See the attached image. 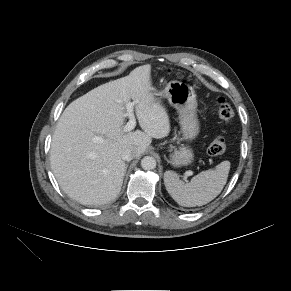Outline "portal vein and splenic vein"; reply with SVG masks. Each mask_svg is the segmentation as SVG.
Wrapping results in <instances>:
<instances>
[{
  "instance_id": "1",
  "label": "portal vein and splenic vein",
  "mask_w": 291,
  "mask_h": 291,
  "mask_svg": "<svg viewBox=\"0 0 291 291\" xmlns=\"http://www.w3.org/2000/svg\"><path fill=\"white\" fill-rule=\"evenodd\" d=\"M133 108H134L133 102L132 103L129 102L126 104V109H127L126 116L129 117V121L127 122V124L123 128L124 132H129V131L133 130L136 126V119H135ZM94 140L99 141V138L96 137ZM190 175H192V173L190 171L186 172L185 179Z\"/></svg>"
}]
</instances>
